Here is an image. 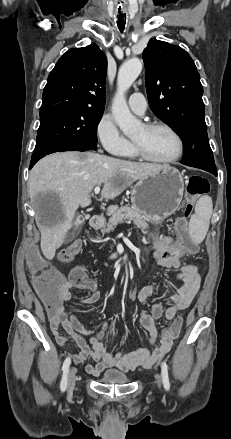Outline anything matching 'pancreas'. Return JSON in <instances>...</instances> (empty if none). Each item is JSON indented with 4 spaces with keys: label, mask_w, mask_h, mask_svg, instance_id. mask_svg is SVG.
Here are the masks:
<instances>
[{
    "label": "pancreas",
    "mask_w": 231,
    "mask_h": 439,
    "mask_svg": "<svg viewBox=\"0 0 231 439\" xmlns=\"http://www.w3.org/2000/svg\"><path fill=\"white\" fill-rule=\"evenodd\" d=\"M133 222L134 225L146 229L148 228L149 218L134 208L123 206L121 208L113 209L111 217L109 218L106 228L102 230L104 233H110L116 226L122 222Z\"/></svg>",
    "instance_id": "1"
}]
</instances>
